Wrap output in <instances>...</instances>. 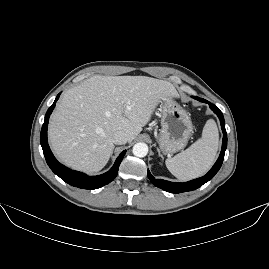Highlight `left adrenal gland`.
Wrapping results in <instances>:
<instances>
[{
	"label": "left adrenal gland",
	"instance_id": "a2214340",
	"mask_svg": "<svg viewBox=\"0 0 269 269\" xmlns=\"http://www.w3.org/2000/svg\"><path fill=\"white\" fill-rule=\"evenodd\" d=\"M156 149H157V151H158V155H159V157H161V158L164 160V157H163V155L161 154L160 149H159L158 147H157Z\"/></svg>",
	"mask_w": 269,
	"mask_h": 269
}]
</instances>
